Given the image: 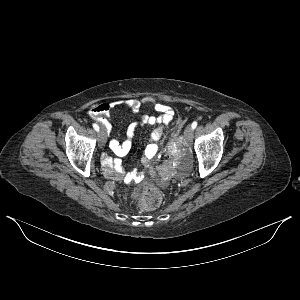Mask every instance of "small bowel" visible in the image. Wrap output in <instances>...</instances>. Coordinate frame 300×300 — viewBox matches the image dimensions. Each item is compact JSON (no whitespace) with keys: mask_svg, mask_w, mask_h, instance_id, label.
<instances>
[{"mask_svg":"<svg viewBox=\"0 0 300 300\" xmlns=\"http://www.w3.org/2000/svg\"><path fill=\"white\" fill-rule=\"evenodd\" d=\"M142 105H149L153 107L158 115H145L139 120L132 122L127 128L125 140L120 142L113 139L110 141L109 147L118 157H124L132 148L133 138L136 131L146 125H156L157 127L151 134V143L147 145L144 154L140 159L141 165L148 166L157 156V142L163 137L167 128L173 121L174 111L170 106L160 103L151 97H145L143 99L116 100L97 105L90 111V115L100 122L105 133H109L112 129V120L110 118V112L112 109L124 106L129 108L133 113H137ZM172 149H175V147H172ZM102 165L105 175L116 181L125 178L135 180L138 176V173L135 170H130L125 167L119 158L113 159L108 155H103ZM162 175V172L156 173V176Z\"/></svg>","mask_w":300,"mask_h":300,"instance_id":"1","label":"small bowel"}]
</instances>
